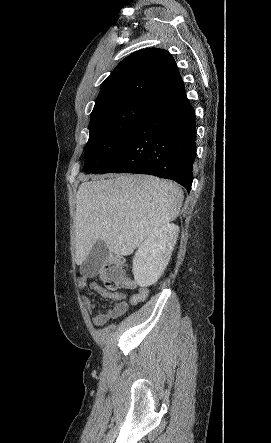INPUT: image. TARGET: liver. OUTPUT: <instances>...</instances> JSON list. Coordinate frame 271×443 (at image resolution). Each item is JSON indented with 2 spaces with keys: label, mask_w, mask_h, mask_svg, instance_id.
Segmentation results:
<instances>
[{
  "label": "liver",
  "mask_w": 271,
  "mask_h": 443,
  "mask_svg": "<svg viewBox=\"0 0 271 443\" xmlns=\"http://www.w3.org/2000/svg\"><path fill=\"white\" fill-rule=\"evenodd\" d=\"M183 198L181 188L171 180L144 174H106L83 182L76 200L77 265L100 239L116 255H131L148 235L176 220Z\"/></svg>",
  "instance_id": "1"
}]
</instances>
